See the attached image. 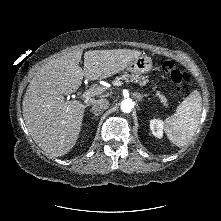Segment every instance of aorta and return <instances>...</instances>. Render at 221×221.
<instances>
[{
	"mask_svg": "<svg viewBox=\"0 0 221 221\" xmlns=\"http://www.w3.org/2000/svg\"><path fill=\"white\" fill-rule=\"evenodd\" d=\"M134 107V103L131 99H123L121 102V110L124 113H129Z\"/></svg>",
	"mask_w": 221,
	"mask_h": 221,
	"instance_id": "1",
	"label": "aorta"
}]
</instances>
